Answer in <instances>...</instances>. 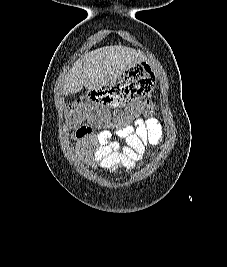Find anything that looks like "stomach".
<instances>
[{
    "label": "stomach",
    "instance_id": "obj_1",
    "mask_svg": "<svg viewBox=\"0 0 227 267\" xmlns=\"http://www.w3.org/2000/svg\"><path fill=\"white\" fill-rule=\"evenodd\" d=\"M155 78L156 73H151L148 61L130 64V68L119 77H111V82H105V87H92V91H87L85 104H102V107L137 104V101L144 100L143 96H150L154 87H158Z\"/></svg>",
    "mask_w": 227,
    "mask_h": 267
}]
</instances>
